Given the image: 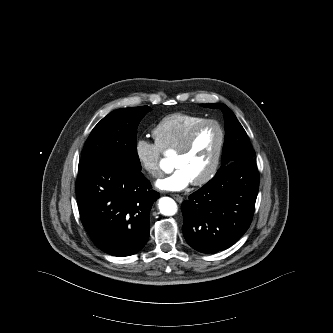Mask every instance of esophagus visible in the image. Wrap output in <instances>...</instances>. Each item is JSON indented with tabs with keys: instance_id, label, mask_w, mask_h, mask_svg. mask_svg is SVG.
<instances>
[{
	"instance_id": "obj_1",
	"label": "esophagus",
	"mask_w": 333,
	"mask_h": 333,
	"mask_svg": "<svg viewBox=\"0 0 333 333\" xmlns=\"http://www.w3.org/2000/svg\"><path fill=\"white\" fill-rule=\"evenodd\" d=\"M172 197L179 203H181L183 201V197H181L178 194H173Z\"/></svg>"
}]
</instances>
